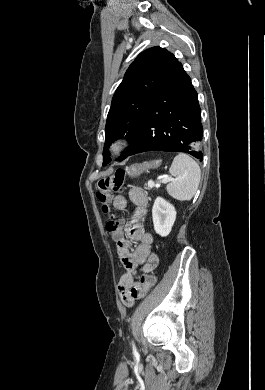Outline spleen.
I'll return each instance as SVG.
<instances>
[{"instance_id": "obj_1", "label": "spleen", "mask_w": 265, "mask_h": 390, "mask_svg": "<svg viewBox=\"0 0 265 390\" xmlns=\"http://www.w3.org/2000/svg\"><path fill=\"white\" fill-rule=\"evenodd\" d=\"M169 172L174 178L167 185L168 193L181 201L192 199L200 182L199 165L190 156L178 154Z\"/></svg>"}]
</instances>
